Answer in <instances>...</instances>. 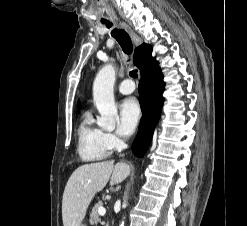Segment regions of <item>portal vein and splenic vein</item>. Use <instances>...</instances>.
<instances>
[{
    "instance_id": "obj_1",
    "label": "portal vein and splenic vein",
    "mask_w": 247,
    "mask_h": 226,
    "mask_svg": "<svg viewBox=\"0 0 247 226\" xmlns=\"http://www.w3.org/2000/svg\"><path fill=\"white\" fill-rule=\"evenodd\" d=\"M98 213L103 216V215L106 214V209L104 207H99L98 208Z\"/></svg>"
}]
</instances>
